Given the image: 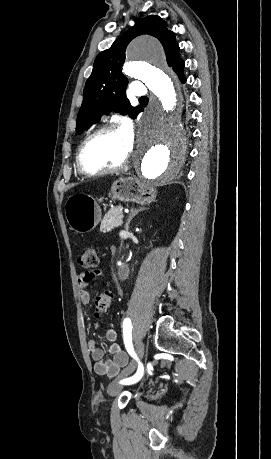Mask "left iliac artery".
Instances as JSON below:
<instances>
[{
  "label": "left iliac artery",
  "mask_w": 271,
  "mask_h": 459,
  "mask_svg": "<svg viewBox=\"0 0 271 459\" xmlns=\"http://www.w3.org/2000/svg\"><path fill=\"white\" fill-rule=\"evenodd\" d=\"M132 329L133 326L131 325L130 319L126 318L123 322L124 344L131 357L137 360V356L132 345ZM143 374V365L139 362L138 371L134 373V377H131L130 379H123L120 381V383L125 386H135V382H140V377H143Z\"/></svg>",
  "instance_id": "obj_1"
}]
</instances>
